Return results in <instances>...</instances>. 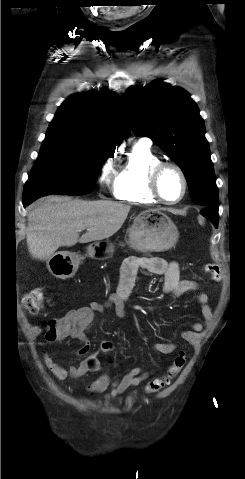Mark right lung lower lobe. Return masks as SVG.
Instances as JSON below:
<instances>
[{
	"label": "right lung lower lobe",
	"instance_id": "right-lung-lower-lobe-1",
	"mask_svg": "<svg viewBox=\"0 0 245 479\" xmlns=\"http://www.w3.org/2000/svg\"><path fill=\"white\" fill-rule=\"evenodd\" d=\"M40 196H35V197H30V198H25L23 199V205L24 207H27L29 204H31L33 201L38 199Z\"/></svg>",
	"mask_w": 245,
	"mask_h": 479
}]
</instances>
